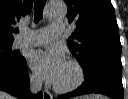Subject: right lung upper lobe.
Here are the masks:
<instances>
[{
    "mask_svg": "<svg viewBox=\"0 0 128 99\" xmlns=\"http://www.w3.org/2000/svg\"><path fill=\"white\" fill-rule=\"evenodd\" d=\"M33 0H0V43L13 42L14 25L27 15Z\"/></svg>",
    "mask_w": 128,
    "mask_h": 99,
    "instance_id": "obj_1",
    "label": "right lung upper lobe"
}]
</instances>
